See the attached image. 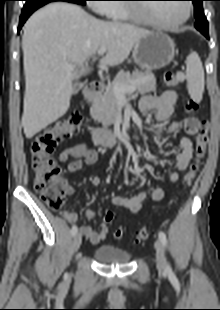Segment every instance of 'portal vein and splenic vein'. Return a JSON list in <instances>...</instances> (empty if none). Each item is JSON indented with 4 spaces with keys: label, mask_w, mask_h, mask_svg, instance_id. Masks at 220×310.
<instances>
[{
    "label": "portal vein and splenic vein",
    "mask_w": 220,
    "mask_h": 310,
    "mask_svg": "<svg viewBox=\"0 0 220 310\" xmlns=\"http://www.w3.org/2000/svg\"><path fill=\"white\" fill-rule=\"evenodd\" d=\"M107 48L106 47H101L99 50H98V55L99 56H102L104 55V53L106 52ZM96 57L93 58V60H95ZM75 67V65H69L68 66V69L69 70H72L73 68ZM135 91V87L133 85H130V86H123L121 84H118L116 83L114 85V92L116 94V97H119V98H122L124 97L125 93H132Z\"/></svg>",
    "instance_id": "obj_1"
}]
</instances>
